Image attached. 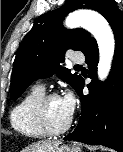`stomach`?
<instances>
[{
	"label": "stomach",
	"mask_w": 123,
	"mask_h": 152,
	"mask_svg": "<svg viewBox=\"0 0 123 152\" xmlns=\"http://www.w3.org/2000/svg\"><path fill=\"white\" fill-rule=\"evenodd\" d=\"M52 152H82L81 147L77 145L67 146L63 145L55 148Z\"/></svg>",
	"instance_id": "obj_1"
}]
</instances>
